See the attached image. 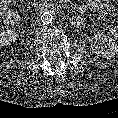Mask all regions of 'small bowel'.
<instances>
[{
  "instance_id": "obj_1",
  "label": "small bowel",
  "mask_w": 118,
  "mask_h": 118,
  "mask_svg": "<svg viewBox=\"0 0 118 118\" xmlns=\"http://www.w3.org/2000/svg\"><path fill=\"white\" fill-rule=\"evenodd\" d=\"M88 6L99 13L110 14L112 12V7L105 2V0H89ZM115 37L118 39V27L114 32Z\"/></svg>"
}]
</instances>
